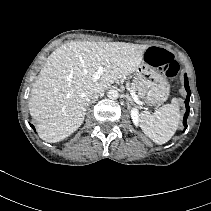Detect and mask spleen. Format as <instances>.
Returning <instances> with one entry per match:
<instances>
[{"mask_svg":"<svg viewBox=\"0 0 211 211\" xmlns=\"http://www.w3.org/2000/svg\"><path fill=\"white\" fill-rule=\"evenodd\" d=\"M180 122V112L177 100L166 104L153 114L141 113L140 127L142 131L156 144L168 142L175 134Z\"/></svg>","mask_w":211,"mask_h":211,"instance_id":"3e777b00","label":"spleen"}]
</instances>
